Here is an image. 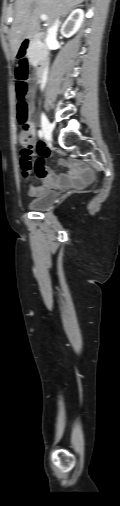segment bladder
<instances>
[{"mask_svg": "<svg viewBox=\"0 0 120 506\" xmlns=\"http://www.w3.org/2000/svg\"><path fill=\"white\" fill-rule=\"evenodd\" d=\"M57 198V192H46L39 197L30 199L28 201V208L34 211H46L57 201Z\"/></svg>", "mask_w": 120, "mask_h": 506, "instance_id": "obj_1", "label": "bladder"}]
</instances>
